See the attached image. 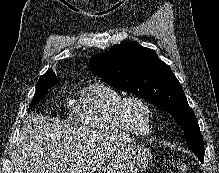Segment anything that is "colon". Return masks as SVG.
Here are the masks:
<instances>
[{"label": "colon", "mask_w": 219, "mask_h": 173, "mask_svg": "<svg viewBox=\"0 0 219 173\" xmlns=\"http://www.w3.org/2000/svg\"><path fill=\"white\" fill-rule=\"evenodd\" d=\"M188 165L181 159H173L170 162L171 173H188Z\"/></svg>", "instance_id": "1"}]
</instances>
